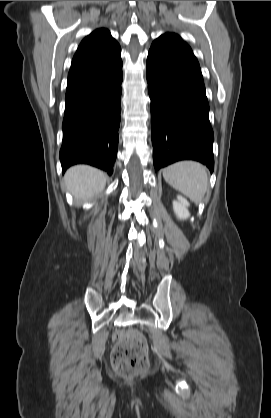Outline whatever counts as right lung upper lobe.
Returning a JSON list of instances; mask_svg holds the SVG:
<instances>
[{
	"mask_svg": "<svg viewBox=\"0 0 271 418\" xmlns=\"http://www.w3.org/2000/svg\"><path fill=\"white\" fill-rule=\"evenodd\" d=\"M121 48L107 29L86 36L73 57L66 93L95 79L121 59Z\"/></svg>",
	"mask_w": 271,
	"mask_h": 418,
	"instance_id": "cb5924a9",
	"label": "right lung upper lobe"
}]
</instances>
